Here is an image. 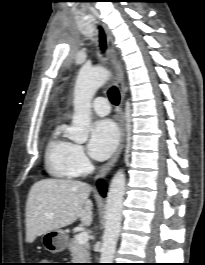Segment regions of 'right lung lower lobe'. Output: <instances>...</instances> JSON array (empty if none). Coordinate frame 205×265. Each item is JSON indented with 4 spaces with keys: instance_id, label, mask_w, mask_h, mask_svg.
Wrapping results in <instances>:
<instances>
[{
    "instance_id": "obj_1",
    "label": "right lung lower lobe",
    "mask_w": 205,
    "mask_h": 265,
    "mask_svg": "<svg viewBox=\"0 0 205 265\" xmlns=\"http://www.w3.org/2000/svg\"><path fill=\"white\" fill-rule=\"evenodd\" d=\"M98 188H99V191L101 192V194L105 195L106 188H105V185L101 181L98 182Z\"/></svg>"
}]
</instances>
